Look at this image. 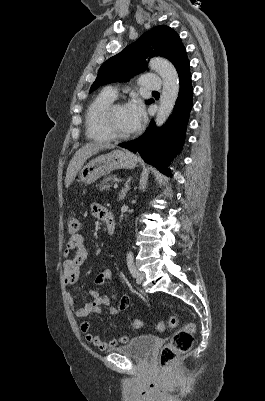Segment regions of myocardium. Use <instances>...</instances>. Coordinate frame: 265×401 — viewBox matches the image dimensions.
Instances as JSON below:
<instances>
[{
	"label": "myocardium",
	"instance_id": "1",
	"mask_svg": "<svg viewBox=\"0 0 265 401\" xmlns=\"http://www.w3.org/2000/svg\"><path fill=\"white\" fill-rule=\"evenodd\" d=\"M119 106H123L122 102H113L103 113L102 118H101V125L104 129V131L106 132V134L108 135L110 140H127L129 138L132 137V135L134 134V132L132 131L131 133L127 134V135H120L117 134L113 128L112 125V117L115 113V110L117 109V107Z\"/></svg>",
	"mask_w": 265,
	"mask_h": 401
}]
</instances>
